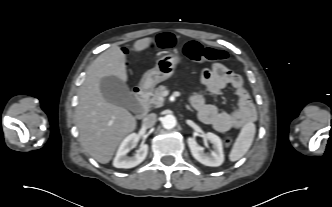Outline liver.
<instances>
[{"instance_id":"6515ba94","label":"liver","mask_w":332,"mask_h":207,"mask_svg":"<svg viewBox=\"0 0 332 207\" xmlns=\"http://www.w3.org/2000/svg\"><path fill=\"white\" fill-rule=\"evenodd\" d=\"M153 38L137 40L133 49L145 50ZM126 56L118 46L101 53L88 67L76 108V124L85 151L96 161L108 163L123 138L136 129L135 117L124 107L109 103L100 91L103 77L127 81Z\"/></svg>"}]
</instances>
